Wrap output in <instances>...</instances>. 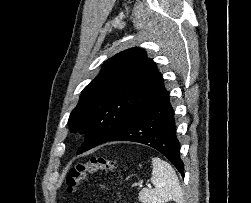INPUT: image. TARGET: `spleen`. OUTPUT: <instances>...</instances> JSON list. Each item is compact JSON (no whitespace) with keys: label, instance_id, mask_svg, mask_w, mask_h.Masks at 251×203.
<instances>
[{"label":"spleen","instance_id":"obj_1","mask_svg":"<svg viewBox=\"0 0 251 203\" xmlns=\"http://www.w3.org/2000/svg\"><path fill=\"white\" fill-rule=\"evenodd\" d=\"M151 182L154 189L144 188L139 193V200L142 203H166L174 200L181 203L183 193L178 177L172 166L160 158H152Z\"/></svg>","mask_w":251,"mask_h":203}]
</instances>
